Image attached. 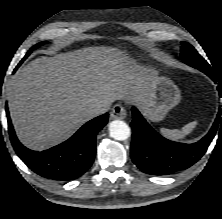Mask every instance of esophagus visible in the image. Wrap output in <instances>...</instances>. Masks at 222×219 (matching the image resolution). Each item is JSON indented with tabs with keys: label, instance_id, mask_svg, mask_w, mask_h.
I'll return each instance as SVG.
<instances>
[{
	"label": "esophagus",
	"instance_id": "1",
	"mask_svg": "<svg viewBox=\"0 0 222 219\" xmlns=\"http://www.w3.org/2000/svg\"><path fill=\"white\" fill-rule=\"evenodd\" d=\"M126 115H127V112H126L125 108L122 105L116 104L112 108L111 117L113 119L122 120L126 117Z\"/></svg>",
	"mask_w": 222,
	"mask_h": 219
}]
</instances>
